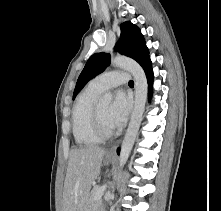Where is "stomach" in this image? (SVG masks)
I'll list each match as a JSON object with an SVG mask.
<instances>
[{"label":"stomach","mask_w":221,"mask_h":211,"mask_svg":"<svg viewBox=\"0 0 221 211\" xmlns=\"http://www.w3.org/2000/svg\"><path fill=\"white\" fill-rule=\"evenodd\" d=\"M113 156H110V155H106L105 156V159H104V163L106 164V165H108L109 163H111L112 161H113Z\"/></svg>","instance_id":"1"}]
</instances>
